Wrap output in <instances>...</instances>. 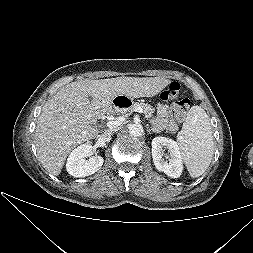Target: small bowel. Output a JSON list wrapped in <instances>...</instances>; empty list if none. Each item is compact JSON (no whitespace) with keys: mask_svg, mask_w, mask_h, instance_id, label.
<instances>
[{"mask_svg":"<svg viewBox=\"0 0 253 253\" xmlns=\"http://www.w3.org/2000/svg\"><path fill=\"white\" fill-rule=\"evenodd\" d=\"M176 115L175 104L169 106L166 104L157 105V116L155 124L159 129H166L169 132H176L178 129L177 121H181Z\"/></svg>","mask_w":253,"mask_h":253,"instance_id":"c3829d8e","label":"small bowel"}]
</instances>
